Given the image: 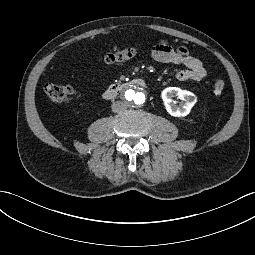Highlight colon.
Returning <instances> with one entry per match:
<instances>
[{"label":"colon","instance_id":"1","mask_svg":"<svg viewBox=\"0 0 255 255\" xmlns=\"http://www.w3.org/2000/svg\"><path fill=\"white\" fill-rule=\"evenodd\" d=\"M136 54V48L127 47L122 50L112 51L105 53L101 56V59L105 63L113 64L123 62L132 58ZM225 88L223 80L218 79L213 83V90L216 94H220ZM46 95L55 102L66 103L70 100L74 93V89L70 85H57V84H46L44 86Z\"/></svg>","mask_w":255,"mask_h":255}]
</instances>
